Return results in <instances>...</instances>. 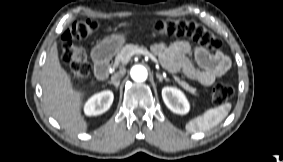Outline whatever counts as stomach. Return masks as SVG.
Returning a JSON list of instances; mask_svg holds the SVG:
<instances>
[{"instance_id":"0dacf381","label":"stomach","mask_w":283,"mask_h":162,"mask_svg":"<svg viewBox=\"0 0 283 162\" xmlns=\"http://www.w3.org/2000/svg\"><path fill=\"white\" fill-rule=\"evenodd\" d=\"M126 41V32L116 33L102 40L95 48L98 58H110L116 54Z\"/></svg>"}]
</instances>
